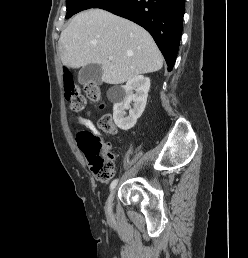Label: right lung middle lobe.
Segmentation results:
<instances>
[{
  "mask_svg": "<svg viewBox=\"0 0 248 258\" xmlns=\"http://www.w3.org/2000/svg\"><path fill=\"white\" fill-rule=\"evenodd\" d=\"M110 0H66L67 14L66 19L70 18L72 15L89 9L96 8L97 6L106 3Z\"/></svg>",
  "mask_w": 248,
  "mask_h": 258,
  "instance_id": "right-lung-middle-lobe-1",
  "label": "right lung middle lobe"
}]
</instances>
